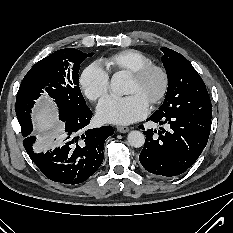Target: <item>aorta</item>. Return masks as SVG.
Returning a JSON list of instances; mask_svg holds the SVG:
<instances>
[{
    "instance_id": "762f6f07",
    "label": "aorta",
    "mask_w": 233,
    "mask_h": 233,
    "mask_svg": "<svg viewBox=\"0 0 233 233\" xmlns=\"http://www.w3.org/2000/svg\"><path fill=\"white\" fill-rule=\"evenodd\" d=\"M128 80L124 73L117 72L113 74L110 82V88L113 94L122 96L127 93ZM127 140L130 146L140 148L144 145L145 136L140 131H131L127 136Z\"/></svg>"
}]
</instances>
